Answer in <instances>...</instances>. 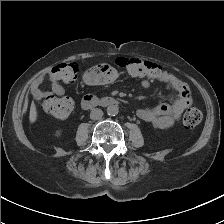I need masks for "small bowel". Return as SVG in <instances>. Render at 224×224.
<instances>
[{"label":"small bowel","instance_id":"1","mask_svg":"<svg viewBox=\"0 0 224 224\" xmlns=\"http://www.w3.org/2000/svg\"><path fill=\"white\" fill-rule=\"evenodd\" d=\"M116 78V70L108 64L95 65L84 74V81L87 84H108ZM46 82L49 83L50 90L43 89V85ZM60 82H62L60 77L50 68L34 80L31 87L32 94L37 99L50 96H63L65 89ZM141 85L144 88H149L150 82L148 79H144ZM165 86L171 92V103H161L137 110L139 118L159 129L169 128L174 125L180 119L184 110L192 103V95L188 86L177 79L175 75L172 81L165 84Z\"/></svg>","mask_w":224,"mask_h":224}]
</instances>
